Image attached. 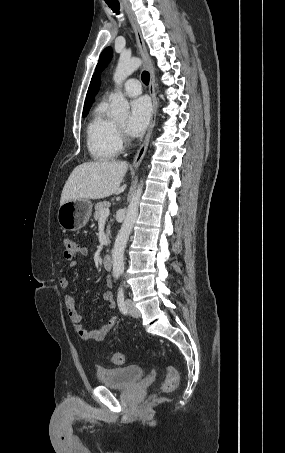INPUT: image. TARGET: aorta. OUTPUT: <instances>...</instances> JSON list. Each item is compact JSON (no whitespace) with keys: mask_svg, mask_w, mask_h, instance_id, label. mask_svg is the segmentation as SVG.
<instances>
[{"mask_svg":"<svg viewBox=\"0 0 285 453\" xmlns=\"http://www.w3.org/2000/svg\"><path fill=\"white\" fill-rule=\"evenodd\" d=\"M142 65L141 59L137 57H126L121 55L113 75V80L117 87L121 86L122 82L131 75L136 69ZM130 110L127 99L123 96L122 92L118 89L112 95L110 112L111 115L117 118H126ZM143 189V181L139 184L137 190L133 194L125 220L118 232L115 240L114 248L112 250V263L113 273L120 274L124 271V250L128 241L129 235L135 224L138 216L139 202Z\"/></svg>","mask_w":285,"mask_h":453,"instance_id":"obj_1","label":"aorta"}]
</instances>
